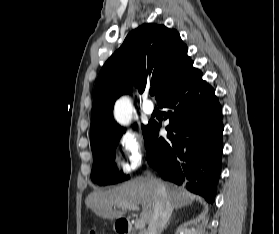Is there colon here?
<instances>
[{
    "mask_svg": "<svg viewBox=\"0 0 279 234\" xmlns=\"http://www.w3.org/2000/svg\"><path fill=\"white\" fill-rule=\"evenodd\" d=\"M89 234H97V232L92 230L89 232Z\"/></svg>",
    "mask_w": 279,
    "mask_h": 234,
    "instance_id": "1",
    "label": "colon"
}]
</instances>
